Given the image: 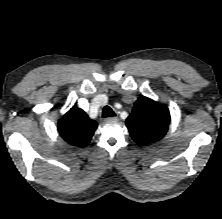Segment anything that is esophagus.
<instances>
[{
  "label": "esophagus",
  "mask_w": 222,
  "mask_h": 219,
  "mask_svg": "<svg viewBox=\"0 0 222 219\" xmlns=\"http://www.w3.org/2000/svg\"><path fill=\"white\" fill-rule=\"evenodd\" d=\"M106 122H117L118 117H108L105 119Z\"/></svg>",
  "instance_id": "obj_1"
}]
</instances>
